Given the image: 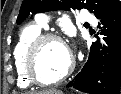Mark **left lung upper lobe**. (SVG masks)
Returning <instances> with one entry per match:
<instances>
[{
  "instance_id": "5c2ea615",
  "label": "left lung upper lobe",
  "mask_w": 121,
  "mask_h": 94,
  "mask_svg": "<svg viewBox=\"0 0 121 94\" xmlns=\"http://www.w3.org/2000/svg\"><path fill=\"white\" fill-rule=\"evenodd\" d=\"M121 7L119 0H24L17 18L21 24L32 13H42L51 10L88 9L98 19H104Z\"/></svg>"
}]
</instances>
